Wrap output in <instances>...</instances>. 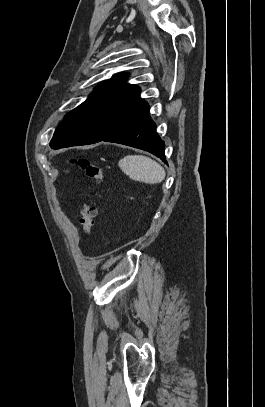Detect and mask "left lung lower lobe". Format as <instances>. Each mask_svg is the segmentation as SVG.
<instances>
[{"label": "left lung lower lobe", "instance_id": "0a47b994", "mask_svg": "<svg viewBox=\"0 0 265 407\" xmlns=\"http://www.w3.org/2000/svg\"><path fill=\"white\" fill-rule=\"evenodd\" d=\"M102 141L124 144L146 150L156 155L166 163L164 155V141L161 140L159 135L156 133L155 123L150 119L149 112L141 118L114 132ZM63 147L70 146L66 144Z\"/></svg>", "mask_w": 265, "mask_h": 407}]
</instances>
